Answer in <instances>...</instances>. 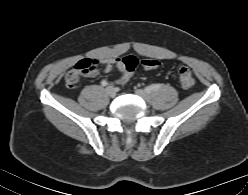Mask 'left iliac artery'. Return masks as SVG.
Wrapping results in <instances>:
<instances>
[{
	"mask_svg": "<svg viewBox=\"0 0 248 195\" xmlns=\"http://www.w3.org/2000/svg\"><path fill=\"white\" fill-rule=\"evenodd\" d=\"M161 88V84H153V85H150L148 87L145 88V90L150 93V92H153V91H157Z\"/></svg>",
	"mask_w": 248,
	"mask_h": 195,
	"instance_id": "obj_1",
	"label": "left iliac artery"
}]
</instances>
